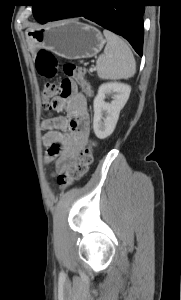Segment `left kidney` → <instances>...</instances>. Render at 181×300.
<instances>
[{"label":"left kidney","mask_w":181,"mask_h":300,"mask_svg":"<svg viewBox=\"0 0 181 300\" xmlns=\"http://www.w3.org/2000/svg\"><path fill=\"white\" fill-rule=\"evenodd\" d=\"M130 92L131 87L124 83L108 82L100 85L93 103V130L97 138L105 139L113 133ZM106 95H112L110 103L105 102Z\"/></svg>","instance_id":"5707ae66"}]
</instances>
